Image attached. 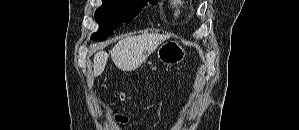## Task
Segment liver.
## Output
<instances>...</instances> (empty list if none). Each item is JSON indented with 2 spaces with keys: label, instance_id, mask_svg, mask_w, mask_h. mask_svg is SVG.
<instances>
[{
  "label": "liver",
  "instance_id": "obj_1",
  "mask_svg": "<svg viewBox=\"0 0 299 130\" xmlns=\"http://www.w3.org/2000/svg\"><path fill=\"white\" fill-rule=\"evenodd\" d=\"M169 37V35L160 34L128 36L121 39L110 51L111 58L118 69L126 72L134 71ZM107 60L108 54L106 52L100 50L95 54L93 59L94 76L102 74Z\"/></svg>",
  "mask_w": 299,
  "mask_h": 130
}]
</instances>
